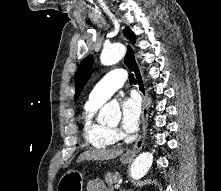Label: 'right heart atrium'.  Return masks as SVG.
<instances>
[{
    "instance_id": "obj_1",
    "label": "right heart atrium",
    "mask_w": 221,
    "mask_h": 191,
    "mask_svg": "<svg viewBox=\"0 0 221 191\" xmlns=\"http://www.w3.org/2000/svg\"><path fill=\"white\" fill-rule=\"evenodd\" d=\"M115 137L118 138L120 136L118 131H114Z\"/></svg>"
}]
</instances>
